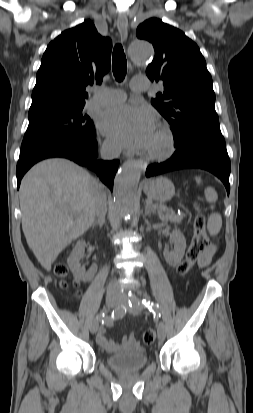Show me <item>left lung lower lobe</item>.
<instances>
[{
	"mask_svg": "<svg viewBox=\"0 0 253 413\" xmlns=\"http://www.w3.org/2000/svg\"><path fill=\"white\" fill-rule=\"evenodd\" d=\"M176 151L166 162L147 167L146 176L168 171L198 168L216 175L224 183L229 194L230 159L219 122H196L179 136H174Z\"/></svg>",
	"mask_w": 253,
	"mask_h": 413,
	"instance_id": "0a47b994",
	"label": "left lung lower lobe"
}]
</instances>
